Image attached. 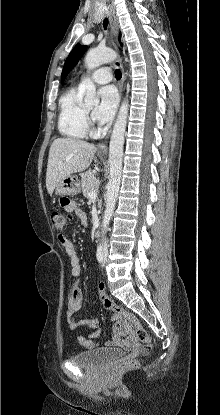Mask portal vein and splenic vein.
<instances>
[{
  "instance_id": "portal-vein-and-splenic-vein-1",
  "label": "portal vein and splenic vein",
  "mask_w": 220,
  "mask_h": 415,
  "mask_svg": "<svg viewBox=\"0 0 220 415\" xmlns=\"http://www.w3.org/2000/svg\"><path fill=\"white\" fill-rule=\"evenodd\" d=\"M98 186L99 185H97L95 189H93V190H91L89 192V197L93 198V197H96L97 196V188H98Z\"/></svg>"
}]
</instances>
